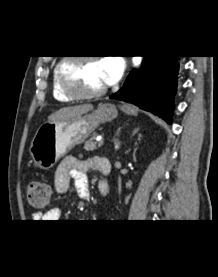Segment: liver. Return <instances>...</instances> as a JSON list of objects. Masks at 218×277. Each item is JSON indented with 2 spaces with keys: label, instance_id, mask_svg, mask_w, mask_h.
Wrapping results in <instances>:
<instances>
[{
  "label": "liver",
  "instance_id": "obj_1",
  "mask_svg": "<svg viewBox=\"0 0 218 277\" xmlns=\"http://www.w3.org/2000/svg\"><path fill=\"white\" fill-rule=\"evenodd\" d=\"M91 110H93V105L91 104L64 107L59 109L55 113L51 114L48 117V120L56 121V120L74 118V117L83 115Z\"/></svg>",
  "mask_w": 218,
  "mask_h": 277
}]
</instances>
